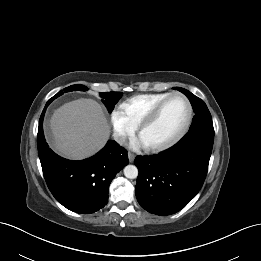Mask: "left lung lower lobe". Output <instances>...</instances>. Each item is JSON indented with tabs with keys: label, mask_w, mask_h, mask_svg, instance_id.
Instances as JSON below:
<instances>
[{
	"label": "left lung lower lobe",
	"mask_w": 261,
	"mask_h": 261,
	"mask_svg": "<svg viewBox=\"0 0 261 261\" xmlns=\"http://www.w3.org/2000/svg\"><path fill=\"white\" fill-rule=\"evenodd\" d=\"M213 141L212 132L190 131L162 153L137 156L135 193L139 204L161 216L184 208L204 183Z\"/></svg>",
	"instance_id": "0a47b994"
}]
</instances>
